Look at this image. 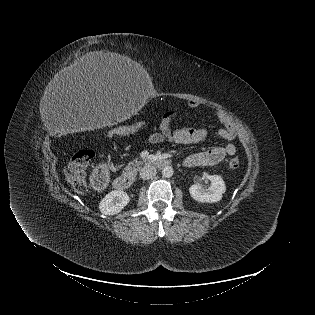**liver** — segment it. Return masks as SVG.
Returning <instances> with one entry per match:
<instances>
[{
    "label": "liver",
    "instance_id": "obj_1",
    "mask_svg": "<svg viewBox=\"0 0 315 315\" xmlns=\"http://www.w3.org/2000/svg\"><path fill=\"white\" fill-rule=\"evenodd\" d=\"M137 69L138 64L127 56L96 51L63 69L59 77L69 83L127 81Z\"/></svg>",
    "mask_w": 315,
    "mask_h": 315
}]
</instances>
